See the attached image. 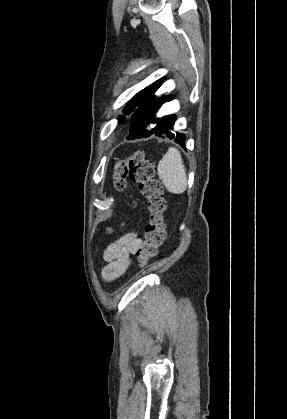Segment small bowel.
<instances>
[{"label": "small bowel", "mask_w": 287, "mask_h": 419, "mask_svg": "<svg viewBox=\"0 0 287 419\" xmlns=\"http://www.w3.org/2000/svg\"><path fill=\"white\" fill-rule=\"evenodd\" d=\"M141 245L135 233H128L111 243L104 251L107 264L102 271L104 280L111 281L125 274L132 264V254Z\"/></svg>", "instance_id": "small-bowel-1"}]
</instances>
